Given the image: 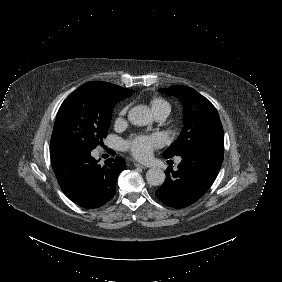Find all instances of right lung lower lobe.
<instances>
[{"instance_id": "98d812e1", "label": "right lung lower lobe", "mask_w": 282, "mask_h": 282, "mask_svg": "<svg viewBox=\"0 0 282 282\" xmlns=\"http://www.w3.org/2000/svg\"><path fill=\"white\" fill-rule=\"evenodd\" d=\"M58 183L64 194L84 208H98L108 202L116 192V181L126 167L116 157L100 166L90 150H75L51 157Z\"/></svg>"}]
</instances>
